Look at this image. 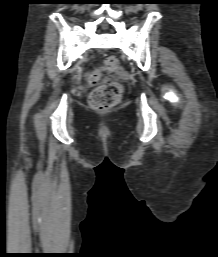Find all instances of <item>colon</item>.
I'll return each mask as SVG.
<instances>
[{
	"instance_id": "1",
	"label": "colon",
	"mask_w": 218,
	"mask_h": 257,
	"mask_svg": "<svg viewBox=\"0 0 218 257\" xmlns=\"http://www.w3.org/2000/svg\"><path fill=\"white\" fill-rule=\"evenodd\" d=\"M116 72L117 79H133L132 70H122L115 56H109L100 67L90 71L88 81L95 86L88 100L89 107L96 111H103L114 107L121 99L123 87L116 82L99 84L100 79L106 73Z\"/></svg>"
}]
</instances>
